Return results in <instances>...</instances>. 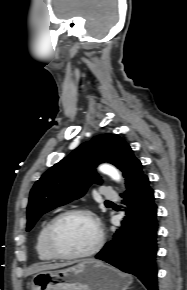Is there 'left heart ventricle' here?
Masks as SVG:
<instances>
[{
	"label": "left heart ventricle",
	"instance_id": "obj_1",
	"mask_svg": "<svg viewBox=\"0 0 187 290\" xmlns=\"http://www.w3.org/2000/svg\"><path fill=\"white\" fill-rule=\"evenodd\" d=\"M96 230L84 216L73 215L63 219L55 231V243L65 253H82L89 250L96 241Z\"/></svg>",
	"mask_w": 187,
	"mask_h": 290
}]
</instances>
